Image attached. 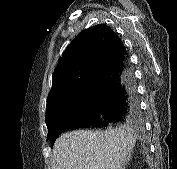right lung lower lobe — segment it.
I'll return each mask as SVG.
<instances>
[{
    "mask_svg": "<svg viewBox=\"0 0 177 169\" xmlns=\"http://www.w3.org/2000/svg\"><path fill=\"white\" fill-rule=\"evenodd\" d=\"M94 87L88 105L62 122L51 137L80 127H107L112 123L135 121L140 117L139 100L134 72L127 53L100 70L91 80Z\"/></svg>",
    "mask_w": 177,
    "mask_h": 169,
    "instance_id": "right-lung-lower-lobe-1",
    "label": "right lung lower lobe"
}]
</instances>
